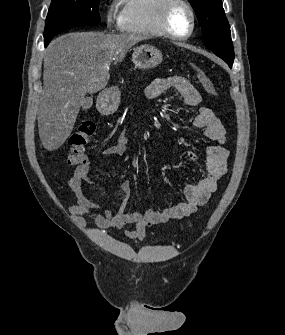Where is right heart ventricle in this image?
<instances>
[{
    "label": "right heart ventricle",
    "instance_id": "obj_1",
    "mask_svg": "<svg viewBox=\"0 0 285 335\" xmlns=\"http://www.w3.org/2000/svg\"><path fill=\"white\" fill-rule=\"evenodd\" d=\"M166 1H132L134 14L128 25L141 39H165L161 12Z\"/></svg>",
    "mask_w": 285,
    "mask_h": 335
}]
</instances>
